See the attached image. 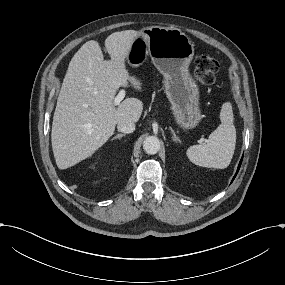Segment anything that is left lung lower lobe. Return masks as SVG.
Wrapping results in <instances>:
<instances>
[{"instance_id": "left-lung-lower-lobe-1", "label": "left lung lower lobe", "mask_w": 285, "mask_h": 285, "mask_svg": "<svg viewBox=\"0 0 285 285\" xmlns=\"http://www.w3.org/2000/svg\"><path fill=\"white\" fill-rule=\"evenodd\" d=\"M242 159H243V157H242ZM242 159H241V161H240V163H239V165H238L237 172H236L235 176L233 177L232 181L234 180V178L236 177V175H237V173H238V171H239V168H240L241 163H242Z\"/></svg>"}]
</instances>
